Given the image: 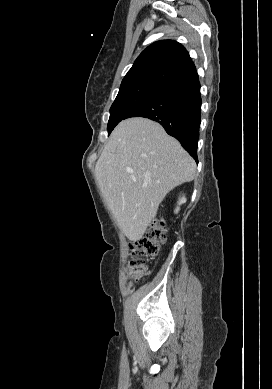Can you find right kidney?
Here are the masks:
<instances>
[{"mask_svg":"<svg viewBox=\"0 0 272 389\" xmlns=\"http://www.w3.org/2000/svg\"><path fill=\"white\" fill-rule=\"evenodd\" d=\"M186 202V198L183 196V197H181L180 199H179V201H178V205L180 206L181 204H183V203H185ZM179 206L175 209V213H178V211H179Z\"/></svg>","mask_w":272,"mask_h":389,"instance_id":"ca27d5eb","label":"right kidney"}]
</instances>
